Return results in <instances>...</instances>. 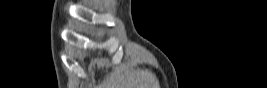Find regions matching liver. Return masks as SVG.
<instances>
[{
    "instance_id": "liver-1",
    "label": "liver",
    "mask_w": 267,
    "mask_h": 88,
    "mask_svg": "<svg viewBox=\"0 0 267 88\" xmlns=\"http://www.w3.org/2000/svg\"><path fill=\"white\" fill-rule=\"evenodd\" d=\"M109 88H159L155 76L149 71H137L136 74L114 75Z\"/></svg>"
}]
</instances>
